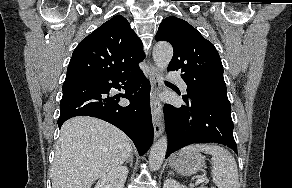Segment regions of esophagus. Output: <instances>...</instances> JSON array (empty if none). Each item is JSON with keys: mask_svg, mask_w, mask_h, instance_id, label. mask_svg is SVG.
Segmentation results:
<instances>
[{"mask_svg": "<svg viewBox=\"0 0 292 188\" xmlns=\"http://www.w3.org/2000/svg\"><path fill=\"white\" fill-rule=\"evenodd\" d=\"M150 86H151V107L154 128V138L157 139L163 132L162 122V104L158 95L161 91V82L158 69L155 65L150 64Z\"/></svg>", "mask_w": 292, "mask_h": 188, "instance_id": "1", "label": "esophagus"}]
</instances>
